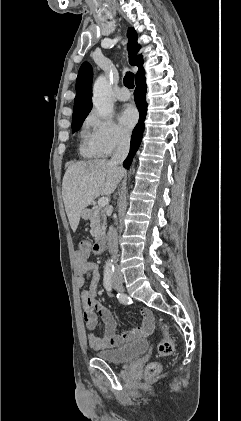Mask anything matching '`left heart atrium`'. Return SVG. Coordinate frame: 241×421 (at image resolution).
Here are the masks:
<instances>
[{"label":"left heart atrium","instance_id":"1","mask_svg":"<svg viewBox=\"0 0 241 421\" xmlns=\"http://www.w3.org/2000/svg\"><path fill=\"white\" fill-rule=\"evenodd\" d=\"M120 124L130 130L138 119L137 110L132 105H125L118 116Z\"/></svg>","mask_w":241,"mask_h":421}]
</instances>
